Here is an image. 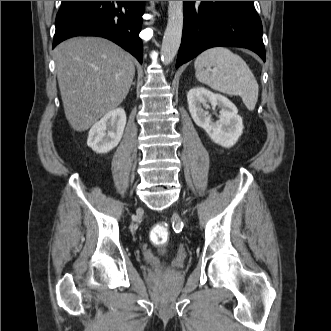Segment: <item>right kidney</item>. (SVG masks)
Wrapping results in <instances>:
<instances>
[{
    "mask_svg": "<svg viewBox=\"0 0 331 331\" xmlns=\"http://www.w3.org/2000/svg\"><path fill=\"white\" fill-rule=\"evenodd\" d=\"M126 125L124 109L108 112L89 131L87 145L97 153H107L120 142Z\"/></svg>",
    "mask_w": 331,
    "mask_h": 331,
    "instance_id": "ca27d5eb",
    "label": "right kidney"
}]
</instances>
